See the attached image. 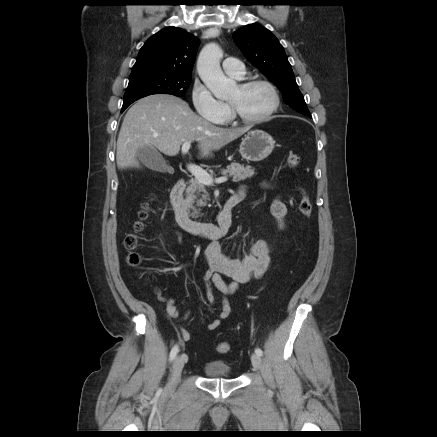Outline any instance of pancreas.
I'll return each mask as SVG.
<instances>
[{
	"label": "pancreas",
	"mask_w": 437,
	"mask_h": 437,
	"mask_svg": "<svg viewBox=\"0 0 437 437\" xmlns=\"http://www.w3.org/2000/svg\"><path fill=\"white\" fill-rule=\"evenodd\" d=\"M221 174L231 176L233 178V182H239L247 178H251L255 172L250 166L244 167L239 163L233 162L227 166L226 169H222ZM208 200L209 194L205 188V185L200 183L197 179L191 180L190 185L186 190V202L193 210V214L197 215L199 213V210L196 209V206H206Z\"/></svg>",
	"instance_id": "pancreas-1"
}]
</instances>
